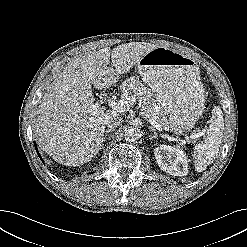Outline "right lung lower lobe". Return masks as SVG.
Listing matches in <instances>:
<instances>
[{"instance_id": "98d812e1", "label": "right lung lower lobe", "mask_w": 247, "mask_h": 247, "mask_svg": "<svg viewBox=\"0 0 247 247\" xmlns=\"http://www.w3.org/2000/svg\"><path fill=\"white\" fill-rule=\"evenodd\" d=\"M34 144H35V148H36L37 154H38L39 158H40V159H41V161H42V158H41V156H40V154H39V152H38V149H37L36 143L34 142Z\"/></svg>"}]
</instances>
